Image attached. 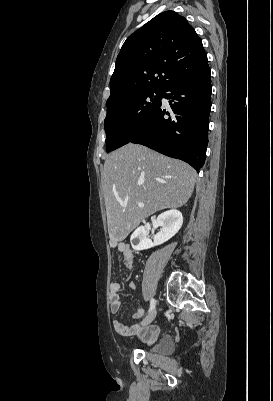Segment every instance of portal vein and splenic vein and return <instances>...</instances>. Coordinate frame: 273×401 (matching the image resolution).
Returning <instances> with one entry per match:
<instances>
[{"label": "portal vein and splenic vein", "mask_w": 273, "mask_h": 401, "mask_svg": "<svg viewBox=\"0 0 273 401\" xmlns=\"http://www.w3.org/2000/svg\"><path fill=\"white\" fill-rule=\"evenodd\" d=\"M138 207H145L144 203H138Z\"/></svg>", "instance_id": "portal-vein-and-splenic-vein-1"}]
</instances>
